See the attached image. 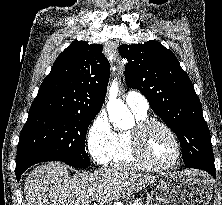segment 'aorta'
I'll return each instance as SVG.
<instances>
[{
  "label": "aorta",
  "instance_id": "obj_1",
  "mask_svg": "<svg viewBox=\"0 0 222 205\" xmlns=\"http://www.w3.org/2000/svg\"><path fill=\"white\" fill-rule=\"evenodd\" d=\"M117 96L118 83L114 80L109 88V101L107 103L109 119L120 128H129L133 125V116L127 106Z\"/></svg>",
  "mask_w": 222,
  "mask_h": 205
}]
</instances>
